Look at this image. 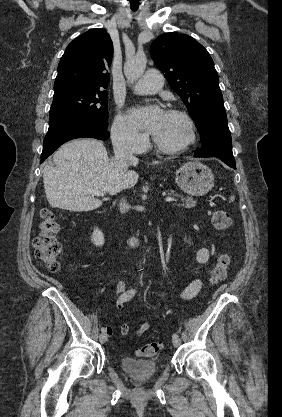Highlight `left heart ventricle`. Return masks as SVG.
<instances>
[{"label":"left heart ventricle","instance_id":"left-heart-ventricle-1","mask_svg":"<svg viewBox=\"0 0 282 417\" xmlns=\"http://www.w3.org/2000/svg\"><path fill=\"white\" fill-rule=\"evenodd\" d=\"M186 128L183 121L173 115L163 114L161 125L155 136L165 144H175L184 139Z\"/></svg>","mask_w":282,"mask_h":417}]
</instances>
